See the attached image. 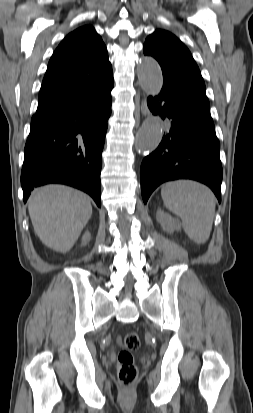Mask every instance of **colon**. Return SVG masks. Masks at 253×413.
I'll list each match as a JSON object with an SVG mask.
<instances>
[{"label": "colon", "mask_w": 253, "mask_h": 413, "mask_svg": "<svg viewBox=\"0 0 253 413\" xmlns=\"http://www.w3.org/2000/svg\"><path fill=\"white\" fill-rule=\"evenodd\" d=\"M140 346L139 336L135 332H128L124 336V349L121 350L117 358V375L120 385L125 391H129L134 385L138 369L130 350Z\"/></svg>", "instance_id": "obj_1"}]
</instances>
